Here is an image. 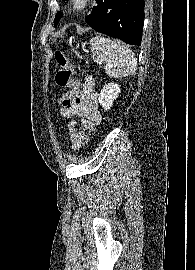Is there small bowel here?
I'll list each match as a JSON object with an SVG mask.
<instances>
[{
  "label": "small bowel",
  "mask_w": 195,
  "mask_h": 270,
  "mask_svg": "<svg viewBox=\"0 0 195 270\" xmlns=\"http://www.w3.org/2000/svg\"><path fill=\"white\" fill-rule=\"evenodd\" d=\"M60 114L69 119L78 117L82 124L88 130H93L101 121V113L99 111L97 92L95 89V80L92 76H86L81 83V91L79 98L71 106H61ZM70 131V142L72 148H78L75 135L77 130V122L72 120L68 124Z\"/></svg>",
  "instance_id": "obj_1"
}]
</instances>
